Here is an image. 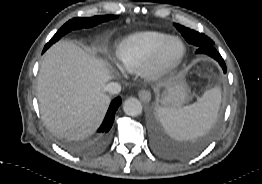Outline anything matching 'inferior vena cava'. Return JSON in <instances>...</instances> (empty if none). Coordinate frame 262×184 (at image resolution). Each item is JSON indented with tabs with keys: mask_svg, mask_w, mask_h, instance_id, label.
<instances>
[{
	"mask_svg": "<svg viewBox=\"0 0 262 184\" xmlns=\"http://www.w3.org/2000/svg\"><path fill=\"white\" fill-rule=\"evenodd\" d=\"M105 90L110 94H118L121 92V85L117 82H110L105 86Z\"/></svg>",
	"mask_w": 262,
	"mask_h": 184,
	"instance_id": "obj_1",
	"label": "inferior vena cava"
}]
</instances>
